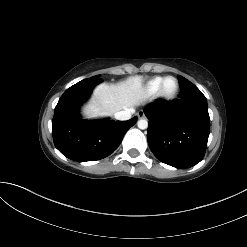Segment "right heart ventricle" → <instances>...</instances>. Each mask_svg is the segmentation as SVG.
Here are the masks:
<instances>
[{
    "label": "right heart ventricle",
    "instance_id": "obj_1",
    "mask_svg": "<svg viewBox=\"0 0 247 247\" xmlns=\"http://www.w3.org/2000/svg\"><path fill=\"white\" fill-rule=\"evenodd\" d=\"M163 80H164L163 77H154L150 79L145 85L144 88L145 94L148 96L155 95L159 91Z\"/></svg>",
    "mask_w": 247,
    "mask_h": 247
}]
</instances>
